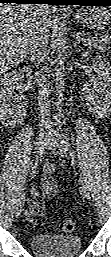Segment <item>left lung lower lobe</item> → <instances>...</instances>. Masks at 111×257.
<instances>
[{"label":"left lung lower lobe","mask_w":111,"mask_h":257,"mask_svg":"<svg viewBox=\"0 0 111 257\" xmlns=\"http://www.w3.org/2000/svg\"><path fill=\"white\" fill-rule=\"evenodd\" d=\"M65 5L111 6V0H67Z\"/></svg>","instance_id":"left-lung-lower-lobe-1"}]
</instances>
